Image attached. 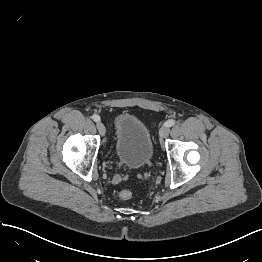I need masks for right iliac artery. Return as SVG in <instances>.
I'll use <instances>...</instances> for the list:
<instances>
[{
	"instance_id": "obj_1",
	"label": "right iliac artery",
	"mask_w": 262,
	"mask_h": 262,
	"mask_svg": "<svg viewBox=\"0 0 262 262\" xmlns=\"http://www.w3.org/2000/svg\"><path fill=\"white\" fill-rule=\"evenodd\" d=\"M92 119H93L95 122H99V121H100V116L94 114V115L92 116Z\"/></svg>"
}]
</instances>
